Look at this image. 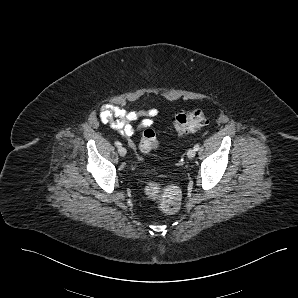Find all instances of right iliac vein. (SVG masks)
<instances>
[{"mask_svg":"<svg viewBox=\"0 0 298 298\" xmlns=\"http://www.w3.org/2000/svg\"><path fill=\"white\" fill-rule=\"evenodd\" d=\"M118 153L120 154V156H125L126 153H127V151H126V149L124 147H120L118 149Z\"/></svg>","mask_w":298,"mask_h":298,"instance_id":"obj_1","label":"right iliac vein"}]
</instances>
